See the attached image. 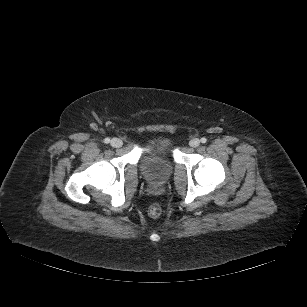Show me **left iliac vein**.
Masks as SVG:
<instances>
[{
    "mask_svg": "<svg viewBox=\"0 0 307 307\" xmlns=\"http://www.w3.org/2000/svg\"><path fill=\"white\" fill-rule=\"evenodd\" d=\"M189 144H190L191 147H194V148L198 147L199 144H200V140L197 139V138L191 139Z\"/></svg>",
    "mask_w": 307,
    "mask_h": 307,
    "instance_id": "obj_1",
    "label": "left iliac vein"
}]
</instances>
